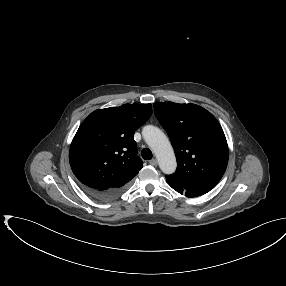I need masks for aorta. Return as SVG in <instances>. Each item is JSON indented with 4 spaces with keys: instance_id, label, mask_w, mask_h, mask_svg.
<instances>
[{
    "instance_id": "aorta-1",
    "label": "aorta",
    "mask_w": 286,
    "mask_h": 286,
    "mask_svg": "<svg viewBox=\"0 0 286 286\" xmlns=\"http://www.w3.org/2000/svg\"><path fill=\"white\" fill-rule=\"evenodd\" d=\"M142 134L148 146L153 150L161 171L165 174L174 173L177 162L168 137L152 125L144 127Z\"/></svg>"
}]
</instances>
